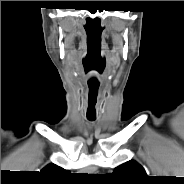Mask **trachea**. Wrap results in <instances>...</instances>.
I'll use <instances>...</instances> for the list:
<instances>
[{
    "label": "trachea",
    "instance_id": "3493384b",
    "mask_svg": "<svg viewBox=\"0 0 184 184\" xmlns=\"http://www.w3.org/2000/svg\"><path fill=\"white\" fill-rule=\"evenodd\" d=\"M90 121H93L94 119L93 118H88Z\"/></svg>",
    "mask_w": 184,
    "mask_h": 184
}]
</instances>
